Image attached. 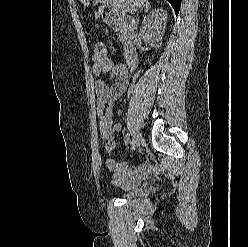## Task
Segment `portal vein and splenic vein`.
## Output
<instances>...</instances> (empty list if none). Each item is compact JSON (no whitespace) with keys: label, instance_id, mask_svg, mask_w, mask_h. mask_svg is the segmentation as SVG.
Masks as SVG:
<instances>
[{"label":"portal vein and splenic vein","instance_id":"obj_1","mask_svg":"<svg viewBox=\"0 0 248 247\" xmlns=\"http://www.w3.org/2000/svg\"><path fill=\"white\" fill-rule=\"evenodd\" d=\"M101 0H96V2H100ZM113 12H117L118 10L116 8H112Z\"/></svg>","mask_w":248,"mask_h":247}]
</instances>
